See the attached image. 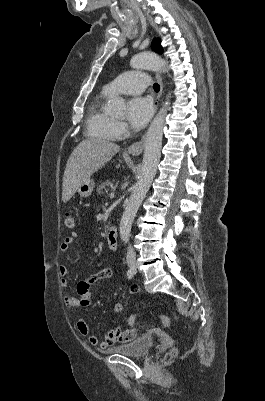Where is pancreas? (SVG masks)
<instances>
[{
	"mask_svg": "<svg viewBox=\"0 0 265 401\" xmlns=\"http://www.w3.org/2000/svg\"><path fill=\"white\" fill-rule=\"evenodd\" d=\"M111 184L112 182H110V180H105V182H101V184H99V186H97L96 188L98 194H104V196H109L108 190H110ZM106 186H109V188H106ZM106 229H108V227H106Z\"/></svg>",
	"mask_w": 265,
	"mask_h": 401,
	"instance_id": "pancreas-1",
	"label": "pancreas"
}]
</instances>
